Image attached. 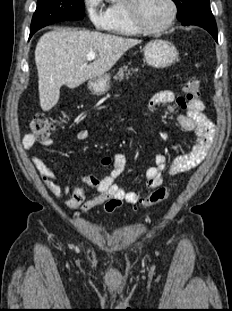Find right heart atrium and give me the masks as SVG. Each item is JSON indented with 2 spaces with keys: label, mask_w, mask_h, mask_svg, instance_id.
Masks as SVG:
<instances>
[{
  "label": "right heart atrium",
  "mask_w": 232,
  "mask_h": 311,
  "mask_svg": "<svg viewBox=\"0 0 232 311\" xmlns=\"http://www.w3.org/2000/svg\"><path fill=\"white\" fill-rule=\"evenodd\" d=\"M84 8L96 29H106L108 12L104 9L103 0H83Z\"/></svg>",
  "instance_id": "d8ad5b80"
}]
</instances>
